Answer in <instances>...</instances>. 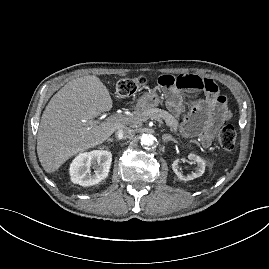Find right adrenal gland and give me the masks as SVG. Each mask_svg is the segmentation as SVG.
<instances>
[{"label":"right adrenal gland","instance_id":"1","mask_svg":"<svg viewBox=\"0 0 269 269\" xmlns=\"http://www.w3.org/2000/svg\"><path fill=\"white\" fill-rule=\"evenodd\" d=\"M109 142H116L117 140H114L113 138L108 139Z\"/></svg>","mask_w":269,"mask_h":269}]
</instances>
